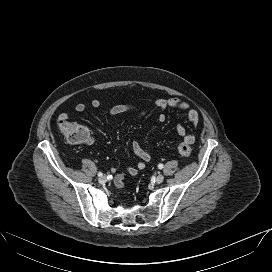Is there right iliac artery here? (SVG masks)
<instances>
[{
  "instance_id": "1",
  "label": "right iliac artery",
  "mask_w": 272,
  "mask_h": 272,
  "mask_svg": "<svg viewBox=\"0 0 272 272\" xmlns=\"http://www.w3.org/2000/svg\"><path fill=\"white\" fill-rule=\"evenodd\" d=\"M98 176H99V177H102V176H103V174H102L101 172H99V173H98Z\"/></svg>"
}]
</instances>
